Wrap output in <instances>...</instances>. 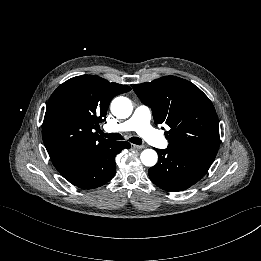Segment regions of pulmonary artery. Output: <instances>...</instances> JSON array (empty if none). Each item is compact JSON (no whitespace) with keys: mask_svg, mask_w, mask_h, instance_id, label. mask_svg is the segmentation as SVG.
<instances>
[{"mask_svg":"<svg viewBox=\"0 0 261 261\" xmlns=\"http://www.w3.org/2000/svg\"><path fill=\"white\" fill-rule=\"evenodd\" d=\"M151 118L150 108L146 105H139L129 119L112 126L110 132L134 130L148 142L166 148L168 141L165 138L158 139L151 133Z\"/></svg>","mask_w":261,"mask_h":261,"instance_id":"1","label":"pulmonary artery"}]
</instances>
